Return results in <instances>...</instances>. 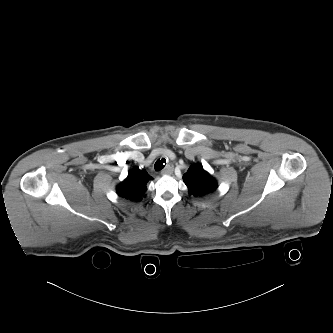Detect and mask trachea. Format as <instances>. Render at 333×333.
Masks as SVG:
<instances>
[{"label":"trachea","instance_id":"obj_1","mask_svg":"<svg viewBox=\"0 0 333 333\" xmlns=\"http://www.w3.org/2000/svg\"><path fill=\"white\" fill-rule=\"evenodd\" d=\"M164 163H166V159H165V158H162L161 160L158 159V160L155 162V165H154L155 170H156V171H160V170H162V169L165 167Z\"/></svg>","mask_w":333,"mask_h":333}]
</instances>
